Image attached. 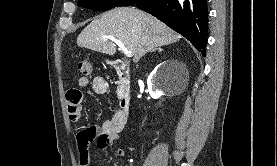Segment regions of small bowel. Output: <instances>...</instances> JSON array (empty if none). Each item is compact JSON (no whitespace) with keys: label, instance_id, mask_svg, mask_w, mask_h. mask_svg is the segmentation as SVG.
I'll return each mask as SVG.
<instances>
[{"label":"small bowel","instance_id":"1","mask_svg":"<svg viewBox=\"0 0 277 166\" xmlns=\"http://www.w3.org/2000/svg\"><path fill=\"white\" fill-rule=\"evenodd\" d=\"M78 86L79 88L70 89L66 93L68 114L73 122H78L82 116V89L91 88L98 95L105 94L108 90V83L102 76H96L92 80L87 77H80ZM125 125L126 122L121 120L117 110L111 119L103 120L98 126H88L79 131L76 135L79 165L90 166L89 145L93 140L97 141V146L101 150L114 142L120 143V133ZM124 155L125 152L122 148L116 149V157H123Z\"/></svg>","mask_w":277,"mask_h":166}]
</instances>
